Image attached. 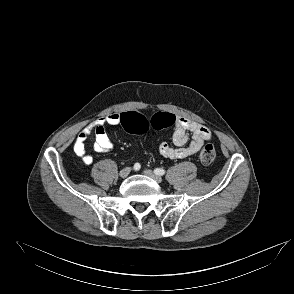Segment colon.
<instances>
[{"label":"colon","mask_w":294,"mask_h":294,"mask_svg":"<svg viewBox=\"0 0 294 294\" xmlns=\"http://www.w3.org/2000/svg\"><path fill=\"white\" fill-rule=\"evenodd\" d=\"M175 123V116L171 113L159 112L148 121L139 112L131 111L121 114V125L131 133L140 135L145 133L150 127L161 130L171 127ZM216 157V150L212 144H206L199 153V160L203 165L211 164Z\"/></svg>","instance_id":"5ec220e1"}]
</instances>
